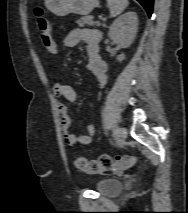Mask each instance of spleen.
<instances>
[{
    "label": "spleen",
    "mask_w": 188,
    "mask_h": 213,
    "mask_svg": "<svg viewBox=\"0 0 188 213\" xmlns=\"http://www.w3.org/2000/svg\"><path fill=\"white\" fill-rule=\"evenodd\" d=\"M108 7L110 9L111 17H116L121 14L128 6V0H107Z\"/></svg>",
    "instance_id": "spleen-1"
}]
</instances>
